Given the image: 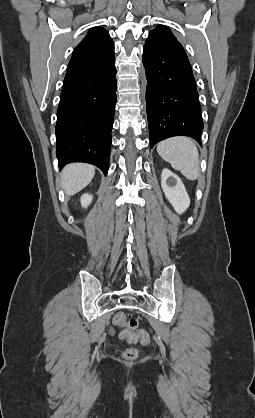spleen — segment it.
<instances>
[{"mask_svg":"<svg viewBox=\"0 0 255 418\" xmlns=\"http://www.w3.org/2000/svg\"><path fill=\"white\" fill-rule=\"evenodd\" d=\"M158 154L189 180L200 175L199 153L192 139L184 136L171 137L157 146Z\"/></svg>","mask_w":255,"mask_h":418,"instance_id":"1","label":"spleen"}]
</instances>
